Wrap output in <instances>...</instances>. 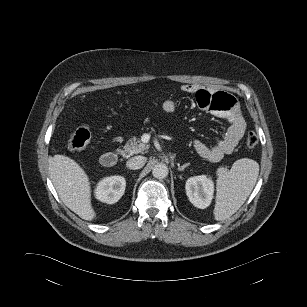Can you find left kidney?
<instances>
[{"mask_svg":"<svg viewBox=\"0 0 307 307\" xmlns=\"http://www.w3.org/2000/svg\"><path fill=\"white\" fill-rule=\"evenodd\" d=\"M186 194L189 201L197 208L205 209L211 203L214 193V183L211 177L199 175L186 181Z\"/></svg>","mask_w":307,"mask_h":307,"instance_id":"obj_1","label":"left kidney"}]
</instances>
